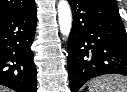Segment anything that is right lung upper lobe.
Returning <instances> with one entry per match:
<instances>
[{
  "label": "right lung upper lobe",
  "instance_id": "cb5924a9",
  "mask_svg": "<svg viewBox=\"0 0 127 92\" xmlns=\"http://www.w3.org/2000/svg\"><path fill=\"white\" fill-rule=\"evenodd\" d=\"M35 5L34 0H0V16L28 9Z\"/></svg>",
  "mask_w": 127,
  "mask_h": 92
}]
</instances>
